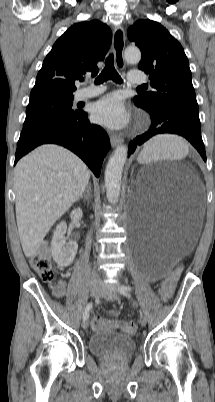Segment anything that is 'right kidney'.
<instances>
[{
	"instance_id": "ca27d5eb",
	"label": "right kidney",
	"mask_w": 215,
	"mask_h": 402,
	"mask_svg": "<svg viewBox=\"0 0 215 402\" xmlns=\"http://www.w3.org/2000/svg\"><path fill=\"white\" fill-rule=\"evenodd\" d=\"M82 210L80 208L74 209L71 212L70 217L74 220L82 218ZM67 230V224L61 222L54 231L51 241V251L53 260L61 267L69 266L77 253L78 244L76 241H67L65 233Z\"/></svg>"
}]
</instances>
